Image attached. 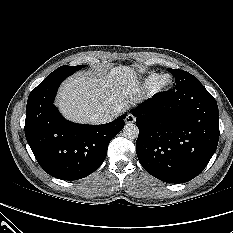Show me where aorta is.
<instances>
[{"label":"aorta","mask_w":233,"mask_h":233,"mask_svg":"<svg viewBox=\"0 0 233 233\" xmlns=\"http://www.w3.org/2000/svg\"><path fill=\"white\" fill-rule=\"evenodd\" d=\"M123 134L128 139H136L139 134V129L135 124L128 123L123 128Z\"/></svg>","instance_id":"762f6f07"}]
</instances>
